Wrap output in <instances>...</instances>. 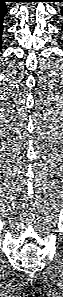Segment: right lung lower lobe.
Segmentation results:
<instances>
[{
	"mask_svg": "<svg viewBox=\"0 0 63 297\" xmlns=\"http://www.w3.org/2000/svg\"><path fill=\"white\" fill-rule=\"evenodd\" d=\"M6 1L7 0H0V49H1V44H2L1 36L3 33V19L7 13V7H6V3H5Z\"/></svg>",
	"mask_w": 63,
	"mask_h": 297,
	"instance_id": "obj_1",
	"label": "right lung lower lobe"
}]
</instances>
